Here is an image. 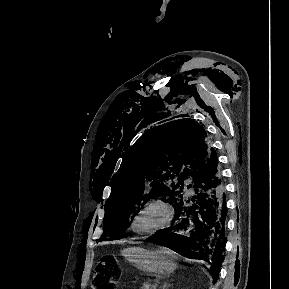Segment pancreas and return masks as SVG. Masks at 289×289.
I'll list each match as a JSON object with an SVG mask.
<instances>
[{
    "mask_svg": "<svg viewBox=\"0 0 289 289\" xmlns=\"http://www.w3.org/2000/svg\"><path fill=\"white\" fill-rule=\"evenodd\" d=\"M141 289H154V285H151L148 282H145Z\"/></svg>",
    "mask_w": 289,
    "mask_h": 289,
    "instance_id": "obj_1",
    "label": "pancreas"
}]
</instances>
